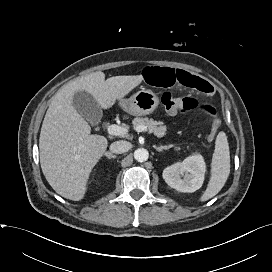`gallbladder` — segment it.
<instances>
[{
    "instance_id": "obj_1",
    "label": "gallbladder",
    "mask_w": 272,
    "mask_h": 272,
    "mask_svg": "<svg viewBox=\"0 0 272 272\" xmlns=\"http://www.w3.org/2000/svg\"><path fill=\"white\" fill-rule=\"evenodd\" d=\"M73 107L91 124H98L102 117V111L97 101L86 91L75 92Z\"/></svg>"
}]
</instances>
